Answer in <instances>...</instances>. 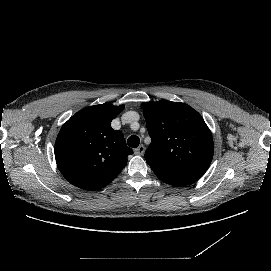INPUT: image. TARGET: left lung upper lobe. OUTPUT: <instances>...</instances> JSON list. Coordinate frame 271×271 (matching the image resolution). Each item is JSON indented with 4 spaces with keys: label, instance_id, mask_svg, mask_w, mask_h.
Masks as SVG:
<instances>
[{
    "label": "left lung upper lobe",
    "instance_id": "left-lung-upper-lobe-1",
    "mask_svg": "<svg viewBox=\"0 0 271 271\" xmlns=\"http://www.w3.org/2000/svg\"><path fill=\"white\" fill-rule=\"evenodd\" d=\"M152 142L147 163L204 174L213 158V138L202 116L185 103L161 100L141 105Z\"/></svg>",
    "mask_w": 271,
    "mask_h": 271
}]
</instances>
